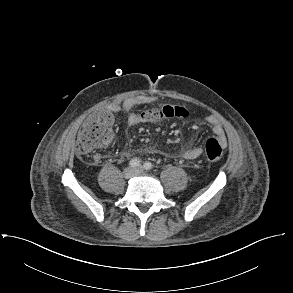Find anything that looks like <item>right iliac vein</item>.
Returning <instances> with one entry per match:
<instances>
[{"label": "right iliac vein", "mask_w": 293, "mask_h": 293, "mask_svg": "<svg viewBox=\"0 0 293 293\" xmlns=\"http://www.w3.org/2000/svg\"><path fill=\"white\" fill-rule=\"evenodd\" d=\"M123 174L126 179H130L136 175V169H134L133 167H127L125 168Z\"/></svg>", "instance_id": "1"}]
</instances>
